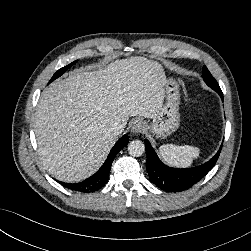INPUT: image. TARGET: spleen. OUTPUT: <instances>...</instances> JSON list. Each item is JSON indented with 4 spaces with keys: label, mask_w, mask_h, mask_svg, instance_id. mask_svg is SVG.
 I'll return each instance as SVG.
<instances>
[{
    "label": "spleen",
    "mask_w": 251,
    "mask_h": 251,
    "mask_svg": "<svg viewBox=\"0 0 251 251\" xmlns=\"http://www.w3.org/2000/svg\"><path fill=\"white\" fill-rule=\"evenodd\" d=\"M200 150L193 146L162 145L159 148L160 157L169 165L175 167H190L194 158L199 157Z\"/></svg>",
    "instance_id": "obj_1"
}]
</instances>
